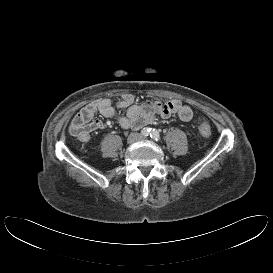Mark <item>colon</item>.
<instances>
[{
  "instance_id": "5ec220e1",
  "label": "colon",
  "mask_w": 273,
  "mask_h": 273,
  "mask_svg": "<svg viewBox=\"0 0 273 273\" xmlns=\"http://www.w3.org/2000/svg\"><path fill=\"white\" fill-rule=\"evenodd\" d=\"M198 129L204 137H209L212 133L211 126H210L209 122H207L205 120H201L199 122Z\"/></svg>"
}]
</instances>
